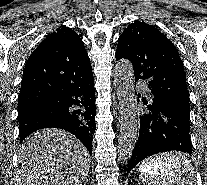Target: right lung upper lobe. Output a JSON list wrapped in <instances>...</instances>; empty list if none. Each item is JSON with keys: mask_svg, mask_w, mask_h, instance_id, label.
<instances>
[{"mask_svg": "<svg viewBox=\"0 0 207 185\" xmlns=\"http://www.w3.org/2000/svg\"><path fill=\"white\" fill-rule=\"evenodd\" d=\"M84 43L69 27L49 34L28 58L18 99V112L54 100L72 84L92 76Z\"/></svg>", "mask_w": 207, "mask_h": 185, "instance_id": "obj_1", "label": "right lung upper lobe"}]
</instances>
